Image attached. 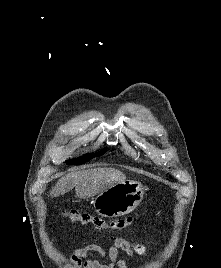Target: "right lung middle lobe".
Here are the masks:
<instances>
[{"label":"right lung middle lobe","instance_id":"right-lung-middle-lobe-1","mask_svg":"<svg viewBox=\"0 0 221 268\" xmlns=\"http://www.w3.org/2000/svg\"><path fill=\"white\" fill-rule=\"evenodd\" d=\"M107 151L106 148L102 149L101 151L97 152V153H91V154H87V155H84L78 159H71V160H68L67 163L68 164H81V163H84L92 158H94L95 156H101L102 154H104L105 152Z\"/></svg>","mask_w":221,"mask_h":268}]
</instances>
